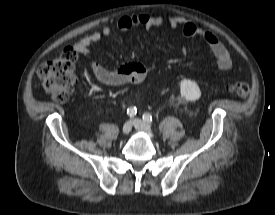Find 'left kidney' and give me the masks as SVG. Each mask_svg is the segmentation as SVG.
Wrapping results in <instances>:
<instances>
[{
	"mask_svg": "<svg viewBox=\"0 0 275 215\" xmlns=\"http://www.w3.org/2000/svg\"><path fill=\"white\" fill-rule=\"evenodd\" d=\"M180 93L182 97L189 101H195L201 97L199 86L195 81L189 79H183L180 82Z\"/></svg>",
	"mask_w": 275,
	"mask_h": 215,
	"instance_id": "5707ae66",
	"label": "left kidney"
}]
</instances>
